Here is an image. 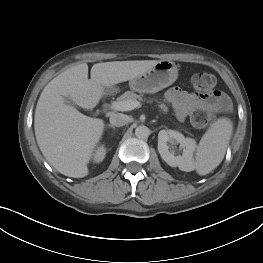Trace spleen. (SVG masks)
<instances>
[{
  "mask_svg": "<svg viewBox=\"0 0 263 263\" xmlns=\"http://www.w3.org/2000/svg\"><path fill=\"white\" fill-rule=\"evenodd\" d=\"M232 129L229 119L220 118L203 135L195 155V169L199 175L208 174L222 162Z\"/></svg>",
  "mask_w": 263,
  "mask_h": 263,
  "instance_id": "spleen-1",
  "label": "spleen"
}]
</instances>
